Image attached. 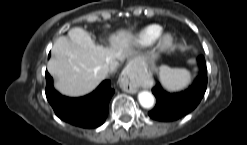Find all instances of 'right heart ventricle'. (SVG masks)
<instances>
[{"instance_id":"obj_1","label":"right heart ventricle","mask_w":247,"mask_h":145,"mask_svg":"<svg viewBox=\"0 0 247 145\" xmlns=\"http://www.w3.org/2000/svg\"><path fill=\"white\" fill-rule=\"evenodd\" d=\"M162 32V27L158 24H150L143 27L136 33L132 39L134 45L139 47H146L153 44L159 34Z\"/></svg>"}]
</instances>
